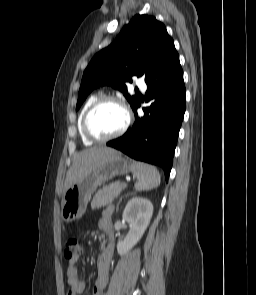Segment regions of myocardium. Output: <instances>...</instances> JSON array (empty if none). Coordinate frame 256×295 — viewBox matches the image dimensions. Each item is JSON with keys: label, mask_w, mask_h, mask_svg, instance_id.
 <instances>
[{"label": "myocardium", "mask_w": 256, "mask_h": 295, "mask_svg": "<svg viewBox=\"0 0 256 295\" xmlns=\"http://www.w3.org/2000/svg\"><path fill=\"white\" fill-rule=\"evenodd\" d=\"M104 103H114V104L118 105L124 112L125 121H124V124L122 125V127L117 132H115L109 136L98 137V136L94 135L89 128V118H90V115L92 114V112L97 107H99L100 105H102ZM130 122H131L130 112H129L128 108L126 107V105L119 98L114 97V96H110V95L100 96L94 102H92V104L87 108V110L83 116V120H82V129H83L85 136L90 141L96 142V143H104V142L116 139V138L120 137L121 135H123L126 132V130L128 129Z\"/></svg>", "instance_id": "f54148a6"}]
</instances>
